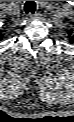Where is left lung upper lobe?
Masks as SVG:
<instances>
[{"instance_id": "obj_1", "label": "left lung upper lobe", "mask_w": 74, "mask_h": 122, "mask_svg": "<svg viewBox=\"0 0 74 122\" xmlns=\"http://www.w3.org/2000/svg\"><path fill=\"white\" fill-rule=\"evenodd\" d=\"M71 34H72V31H68L69 37L71 36ZM70 42H71V43L74 42V36H73L72 38H70Z\"/></svg>"}]
</instances>
